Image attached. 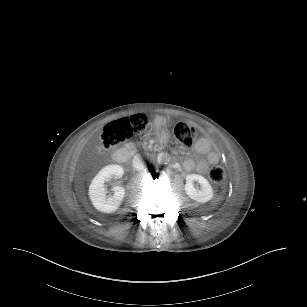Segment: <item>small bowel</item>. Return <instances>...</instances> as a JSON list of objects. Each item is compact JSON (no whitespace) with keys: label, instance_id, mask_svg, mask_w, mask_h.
Segmentation results:
<instances>
[{"label":"small bowel","instance_id":"c3829d8e","mask_svg":"<svg viewBox=\"0 0 307 307\" xmlns=\"http://www.w3.org/2000/svg\"><path fill=\"white\" fill-rule=\"evenodd\" d=\"M194 153L198 155L197 160L187 159L184 162L186 170H195L200 174L207 172L210 165L219 162V154L213 149L212 143L207 138H200L193 149Z\"/></svg>","mask_w":307,"mask_h":307}]
</instances>
